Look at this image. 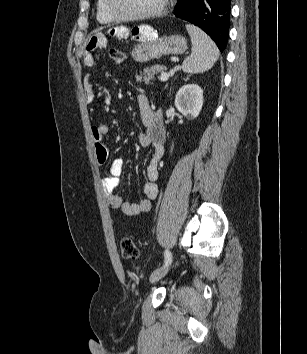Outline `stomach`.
Returning <instances> with one entry per match:
<instances>
[{"mask_svg":"<svg viewBox=\"0 0 307 354\" xmlns=\"http://www.w3.org/2000/svg\"><path fill=\"white\" fill-rule=\"evenodd\" d=\"M131 31L134 32L132 39L137 42L131 55L135 61L140 63L159 59L163 55L182 54L187 48L183 36L172 34L158 38L156 31L149 25H140Z\"/></svg>","mask_w":307,"mask_h":354,"instance_id":"0dacf381","label":"stomach"}]
</instances>
